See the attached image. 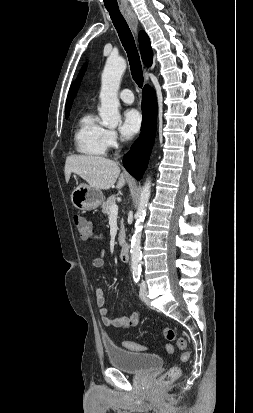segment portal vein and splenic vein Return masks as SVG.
Wrapping results in <instances>:
<instances>
[{
	"mask_svg": "<svg viewBox=\"0 0 253 413\" xmlns=\"http://www.w3.org/2000/svg\"><path fill=\"white\" fill-rule=\"evenodd\" d=\"M118 214V206L117 205H113L110 208V215H117Z\"/></svg>",
	"mask_w": 253,
	"mask_h": 413,
	"instance_id": "portal-vein-and-splenic-vein-1",
	"label": "portal vein and splenic vein"
}]
</instances>
